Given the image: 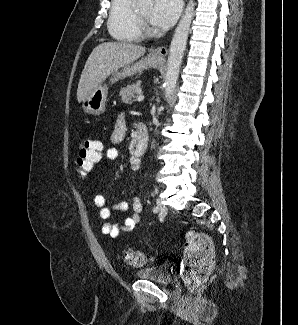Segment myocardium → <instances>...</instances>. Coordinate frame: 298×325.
Masks as SVG:
<instances>
[{"label":"myocardium","instance_id":"f54148a6","mask_svg":"<svg viewBox=\"0 0 298 325\" xmlns=\"http://www.w3.org/2000/svg\"><path fill=\"white\" fill-rule=\"evenodd\" d=\"M141 0H134L131 4V27L139 38L147 39L158 35L159 31L151 28L140 12Z\"/></svg>","mask_w":298,"mask_h":325}]
</instances>
